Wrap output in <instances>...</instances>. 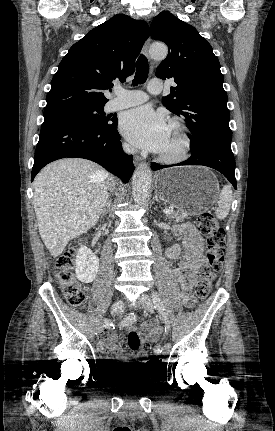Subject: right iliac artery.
Instances as JSON below:
<instances>
[{
  "mask_svg": "<svg viewBox=\"0 0 275 431\" xmlns=\"http://www.w3.org/2000/svg\"><path fill=\"white\" fill-rule=\"evenodd\" d=\"M136 321V315L134 313H131L127 315L120 323V326H128L133 324ZM105 327L107 328H114L113 323H111L107 318L104 319Z\"/></svg>",
  "mask_w": 275,
  "mask_h": 431,
  "instance_id": "82829eb1",
  "label": "right iliac artery"
}]
</instances>
